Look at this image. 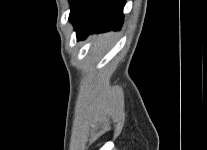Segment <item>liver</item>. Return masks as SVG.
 <instances>
[{"instance_id":"obj_1","label":"liver","mask_w":207,"mask_h":150,"mask_svg":"<svg viewBox=\"0 0 207 150\" xmlns=\"http://www.w3.org/2000/svg\"><path fill=\"white\" fill-rule=\"evenodd\" d=\"M111 36V33L95 36L94 47L101 48ZM79 107L89 117L98 115L102 110L101 97L98 91L93 88L84 89L79 98Z\"/></svg>"}]
</instances>
